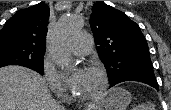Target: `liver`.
<instances>
[{
	"instance_id": "obj_1",
	"label": "liver",
	"mask_w": 171,
	"mask_h": 110,
	"mask_svg": "<svg viewBox=\"0 0 171 110\" xmlns=\"http://www.w3.org/2000/svg\"><path fill=\"white\" fill-rule=\"evenodd\" d=\"M97 106L91 105L88 110ZM0 110H61L45 79L22 66L0 69Z\"/></svg>"
}]
</instances>
